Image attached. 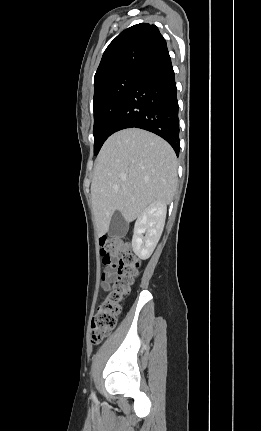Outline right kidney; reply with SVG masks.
<instances>
[{"label": "right kidney", "mask_w": 261, "mask_h": 431, "mask_svg": "<svg viewBox=\"0 0 261 431\" xmlns=\"http://www.w3.org/2000/svg\"><path fill=\"white\" fill-rule=\"evenodd\" d=\"M166 213V204L153 203L136 220L132 248L140 259H148L153 253L164 228Z\"/></svg>", "instance_id": "1"}]
</instances>
